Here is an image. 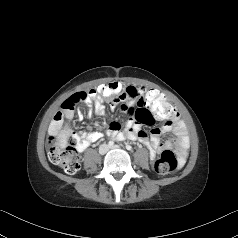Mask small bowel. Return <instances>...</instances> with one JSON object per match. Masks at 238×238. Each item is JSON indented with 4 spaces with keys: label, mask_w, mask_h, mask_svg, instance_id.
<instances>
[{
    "label": "small bowel",
    "mask_w": 238,
    "mask_h": 238,
    "mask_svg": "<svg viewBox=\"0 0 238 238\" xmlns=\"http://www.w3.org/2000/svg\"><path fill=\"white\" fill-rule=\"evenodd\" d=\"M100 95L96 94L95 90H90L83 100L87 106L94 108V113L97 116H103L105 114V107L101 103ZM117 98L122 103V111L132 114V118L127 121L124 127L116 121L110 122L106 130V134L110 138L117 141L124 139L140 141L148 147L151 159H154L157 154L175 145L180 163L184 161L189 147V137L187 135V129L179 119L177 113L175 112L171 118L165 119L164 124L158 128L156 127L158 124L157 117L154 116L152 111L148 110L149 102L152 99L165 101L166 99L163 95L155 90L147 91L143 88L127 86ZM117 104L110 103V106L114 108ZM134 104L137 105L136 110L133 108ZM73 117V108L66 109L62 106V111L54 116L50 126V133L58 134L59 138L63 141L67 134L71 133L63 127L64 121L70 120ZM82 117V113L78 112V118L81 119ZM142 125L152 129L148 133L142 129ZM167 132H173L176 138L172 141L162 142L160 137ZM102 136L103 133L100 131H80L77 135H74L77 150L80 152L86 150L92 143L101 139Z\"/></svg>",
    "instance_id": "c3829d8e"
}]
</instances>
